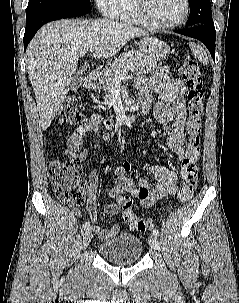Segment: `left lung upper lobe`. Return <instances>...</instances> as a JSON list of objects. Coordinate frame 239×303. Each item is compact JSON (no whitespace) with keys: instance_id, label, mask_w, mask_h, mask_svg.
Returning <instances> with one entry per match:
<instances>
[{"instance_id":"5c2ea615","label":"left lung upper lobe","mask_w":239,"mask_h":303,"mask_svg":"<svg viewBox=\"0 0 239 303\" xmlns=\"http://www.w3.org/2000/svg\"><path fill=\"white\" fill-rule=\"evenodd\" d=\"M190 15L187 21L188 27L207 24L213 25L210 0H188Z\"/></svg>"}]
</instances>
